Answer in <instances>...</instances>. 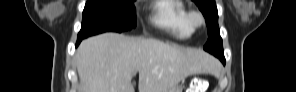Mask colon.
I'll return each mask as SVG.
<instances>
[{"label": "colon", "mask_w": 296, "mask_h": 92, "mask_svg": "<svg viewBox=\"0 0 296 92\" xmlns=\"http://www.w3.org/2000/svg\"><path fill=\"white\" fill-rule=\"evenodd\" d=\"M205 89V80L203 77L192 79L188 92H202Z\"/></svg>", "instance_id": "5ec220e1"}]
</instances>
